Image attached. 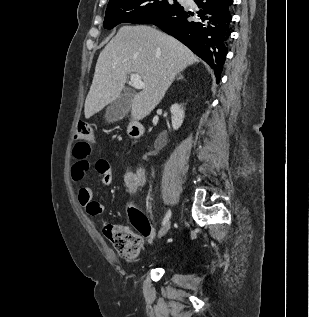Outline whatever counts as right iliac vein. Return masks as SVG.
Listing matches in <instances>:
<instances>
[{"mask_svg": "<svg viewBox=\"0 0 309 317\" xmlns=\"http://www.w3.org/2000/svg\"><path fill=\"white\" fill-rule=\"evenodd\" d=\"M170 229V221L166 222L163 227L160 229L159 233H158V237L161 238L163 237L168 230Z\"/></svg>", "mask_w": 309, "mask_h": 317, "instance_id": "right-iliac-vein-1", "label": "right iliac vein"}]
</instances>
